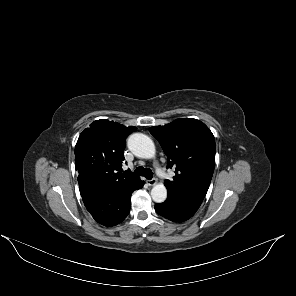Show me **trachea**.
Listing matches in <instances>:
<instances>
[{"instance_id":"1","label":"trachea","mask_w":296,"mask_h":296,"mask_svg":"<svg viewBox=\"0 0 296 296\" xmlns=\"http://www.w3.org/2000/svg\"><path fill=\"white\" fill-rule=\"evenodd\" d=\"M137 176H144L146 179L151 180L153 177V172L149 168H144L142 166L137 167L134 171Z\"/></svg>"}]
</instances>
